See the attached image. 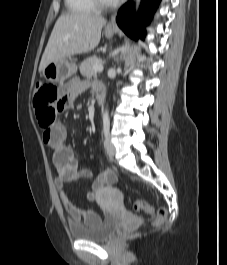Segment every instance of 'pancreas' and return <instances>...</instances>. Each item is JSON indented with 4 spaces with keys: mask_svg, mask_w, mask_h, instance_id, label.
<instances>
[{
    "mask_svg": "<svg viewBox=\"0 0 227 265\" xmlns=\"http://www.w3.org/2000/svg\"><path fill=\"white\" fill-rule=\"evenodd\" d=\"M102 62L98 59V57L91 56L87 59H85L81 64H80V73L85 76V77H92L93 75L96 74V72L93 70V67L95 65H101Z\"/></svg>",
    "mask_w": 227,
    "mask_h": 265,
    "instance_id": "pancreas-1",
    "label": "pancreas"
}]
</instances>
